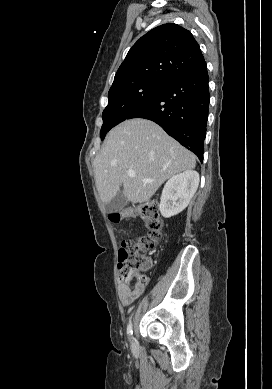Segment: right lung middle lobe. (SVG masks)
<instances>
[{
    "instance_id": "dd1d6c3e",
    "label": "right lung middle lobe",
    "mask_w": 272,
    "mask_h": 389,
    "mask_svg": "<svg viewBox=\"0 0 272 389\" xmlns=\"http://www.w3.org/2000/svg\"><path fill=\"white\" fill-rule=\"evenodd\" d=\"M166 83L142 80L109 90L108 105L103 111L101 140L114 126L126 120L139 106L157 94Z\"/></svg>"
}]
</instances>
